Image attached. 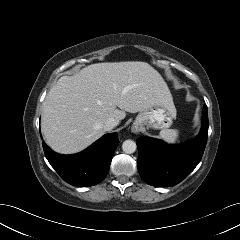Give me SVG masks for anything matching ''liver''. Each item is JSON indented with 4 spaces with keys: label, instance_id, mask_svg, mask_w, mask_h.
Here are the masks:
<instances>
[{
    "label": "liver",
    "instance_id": "liver-1",
    "mask_svg": "<svg viewBox=\"0 0 240 240\" xmlns=\"http://www.w3.org/2000/svg\"><path fill=\"white\" fill-rule=\"evenodd\" d=\"M156 104L172 105L173 99L162 76L148 63L92 64L61 77L50 89L41 130L54 151L77 153L105 133L103 124L109 118L119 123L125 112H141Z\"/></svg>",
    "mask_w": 240,
    "mask_h": 240
}]
</instances>
